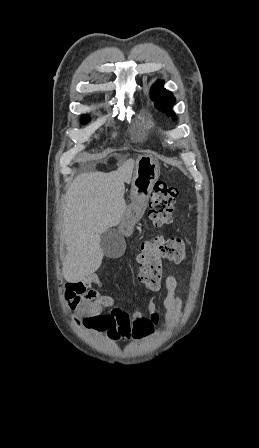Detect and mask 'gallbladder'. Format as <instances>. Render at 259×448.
Masks as SVG:
<instances>
[{
	"mask_svg": "<svg viewBox=\"0 0 259 448\" xmlns=\"http://www.w3.org/2000/svg\"><path fill=\"white\" fill-rule=\"evenodd\" d=\"M100 246L107 258H120L125 250V242L117 230H107L101 236Z\"/></svg>",
	"mask_w": 259,
	"mask_h": 448,
	"instance_id": "gallbladder-1",
	"label": "gallbladder"
}]
</instances>
